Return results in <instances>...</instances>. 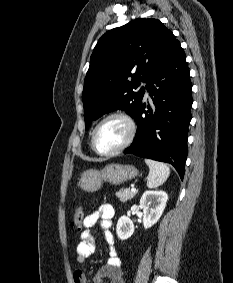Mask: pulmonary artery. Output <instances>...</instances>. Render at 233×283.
<instances>
[{"mask_svg": "<svg viewBox=\"0 0 233 283\" xmlns=\"http://www.w3.org/2000/svg\"><path fill=\"white\" fill-rule=\"evenodd\" d=\"M141 86L145 88V84H144V83H142V84H141ZM145 96H146V97H148V96H149V94H148V92H147V90H146V89H145Z\"/></svg>", "mask_w": 233, "mask_h": 283, "instance_id": "1", "label": "pulmonary artery"}]
</instances>
